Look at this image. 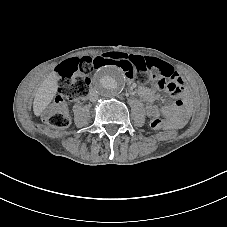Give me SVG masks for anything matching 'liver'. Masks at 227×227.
<instances>
[{
  "instance_id": "1",
  "label": "liver",
  "mask_w": 227,
  "mask_h": 227,
  "mask_svg": "<svg viewBox=\"0 0 227 227\" xmlns=\"http://www.w3.org/2000/svg\"><path fill=\"white\" fill-rule=\"evenodd\" d=\"M58 79V74L52 71L37 89L33 101V112L35 116H40L55 97L58 88Z\"/></svg>"
}]
</instances>
